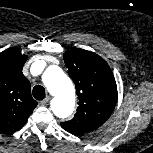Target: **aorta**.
Instances as JSON below:
<instances>
[{"label": "aorta", "mask_w": 153, "mask_h": 153, "mask_svg": "<svg viewBox=\"0 0 153 153\" xmlns=\"http://www.w3.org/2000/svg\"><path fill=\"white\" fill-rule=\"evenodd\" d=\"M42 81L54 96L51 109L59 118L71 115L75 107V89L71 80L58 66L48 67L42 75Z\"/></svg>", "instance_id": "aorta-1"}]
</instances>
